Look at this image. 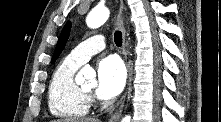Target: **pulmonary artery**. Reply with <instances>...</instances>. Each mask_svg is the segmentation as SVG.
Returning a JSON list of instances; mask_svg holds the SVG:
<instances>
[{
    "label": "pulmonary artery",
    "instance_id": "1",
    "mask_svg": "<svg viewBox=\"0 0 221 122\" xmlns=\"http://www.w3.org/2000/svg\"><path fill=\"white\" fill-rule=\"evenodd\" d=\"M106 46L103 35H94L76 46L69 57L79 64L85 63L91 56L102 51Z\"/></svg>",
    "mask_w": 221,
    "mask_h": 122
}]
</instances>
